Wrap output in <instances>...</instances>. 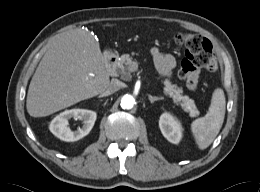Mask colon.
Here are the masks:
<instances>
[{"label": "colon", "instance_id": "colon-1", "mask_svg": "<svg viewBox=\"0 0 260 192\" xmlns=\"http://www.w3.org/2000/svg\"><path fill=\"white\" fill-rule=\"evenodd\" d=\"M175 41L185 47V55L180 63L179 75L190 89H195L200 70L215 66L213 48L209 40L195 34L181 33Z\"/></svg>", "mask_w": 260, "mask_h": 192}]
</instances>
